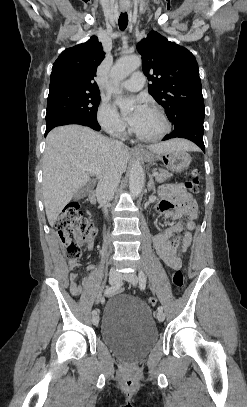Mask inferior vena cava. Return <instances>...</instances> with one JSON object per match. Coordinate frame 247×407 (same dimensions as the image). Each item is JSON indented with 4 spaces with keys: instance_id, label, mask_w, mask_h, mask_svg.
Wrapping results in <instances>:
<instances>
[{
    "instance_id": "1",
    "label": "inferior vena cava",
    "mask_w": 247,
    "mask_h": 407,
    "mask_svg": "<svg viewBox=\"0 0 247 407\" xmlns=\"http://www.w3.org/2000/svg\"><path fill=\"white\" fill-rule=\"evenodd\" d=\"M117 146H123V143L117 140H112ZM121 175L117 172L104 174L100 177L97 185V195L99 201L104 205V211L107 213L106 204L110 202L114 196L115 190L119 185Z\"/></svg>"
}]
</instances>
